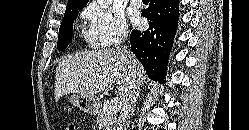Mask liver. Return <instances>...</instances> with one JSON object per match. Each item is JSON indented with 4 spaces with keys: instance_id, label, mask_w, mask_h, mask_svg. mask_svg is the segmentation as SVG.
<instances>
[{
    "instance_id": "liver-1",
    "label": "liver",
    "mask_w": 249,
    "mask_h": 130,
    "mask_svg": "<svg viewBox=\"0 0 249 130\" xmlns=\"http://www.w3.org/2000/svg\"><path fill=\"white\" fill-rule=\"evenodd\" d=\"M132 74L140 85L146 80L143 66L133 56L128 64L120 50L99 49L67 56L56 68L55 100L58 102L70 93L91 96L108 93L116 82L115 92L122 105Z\"/></svg>"
}]
</instances>
